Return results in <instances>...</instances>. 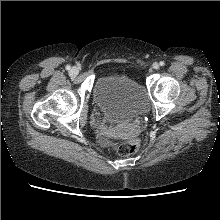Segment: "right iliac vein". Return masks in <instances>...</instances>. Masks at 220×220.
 Returning <instances> with one entry per match:
<instances>
[{
  "mask_svg": "<svg viewBox=\"0 0 220 220\" xmlns=\"http://www.w3.org/2000/svg\"><path fill=\"white\" fill-rule=\"evenodd\" d=\"M78 73H79V69H78L77 67L71 68L70 74H71L72 76H76V75H78Z\"/></svg>",
  "mask_w": 220,
  "mask_h": 220,
  "instance_id": "1",
  "label": "right iliac vein"
}]
</instances>
